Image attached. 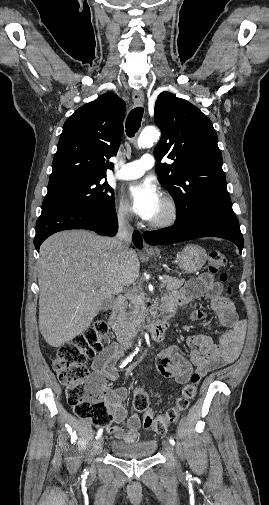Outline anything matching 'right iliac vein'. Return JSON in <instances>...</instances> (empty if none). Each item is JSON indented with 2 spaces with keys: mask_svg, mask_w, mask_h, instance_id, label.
Listing matches in <instances>:
<instances>
[{
  "mask_svg": "<svg viewBox=\"0 0 269 505\" xmlns=\"http://www.w3.org/2000/svg\"><path fill=\"white\" fill-rule=\"evenodd\" d=\"M103 443H104V438L102 436H100L97 441H96V444H95V447H94V454H98L102 447H103ZM94 470V467L92 468V471Z\"/></svg>",
  "mask_w": 269,
  "mask_h": 505,
  "instance_id": "1",
  "label": "right iliac vein"
}]
</instances>
